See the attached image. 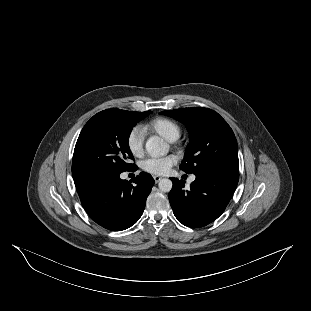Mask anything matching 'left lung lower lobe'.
Listing matches in <instances>:
<instances>
[{
  "label": "left lung lower lobe",
  "mask_w": 311,
  "mask_h": 311,
  "mask_svg": "<svg viewBox=\"0 0 311 311\" xmlns=\"http://www.w3.org/2000/svg\"><path fill=\"white\" fill-rule=\"evenodd\" d=\"M185 190L184 182L170 178L173 188L169 201L176 218L188 227H203L225 210L237 187L239 168L221 167L197 173Z\"/></svg>",
  "instance_id": "left-lung-lower-lobe-1"
}]
</instances>
